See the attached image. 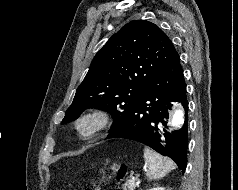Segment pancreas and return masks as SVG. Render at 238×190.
Instances as JSON below:
<instances>
[{
	"label": "pancreas",
	"mask_w": 238,
	"mask_h": 190,
	"mask_svg": "<svg viewBox=\"0 0 238 190\" xmlns=\"http://www.w3.org/2000/svg\"><path fill=\"white\" fill-rule=\"evenodd\" d=\"M136 187H139L138 179H129L125 182L123 190H134Z\"/></svg>",
	"instance_id": "1"
}]
</instances>
